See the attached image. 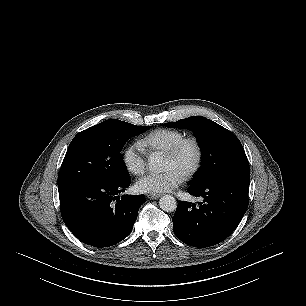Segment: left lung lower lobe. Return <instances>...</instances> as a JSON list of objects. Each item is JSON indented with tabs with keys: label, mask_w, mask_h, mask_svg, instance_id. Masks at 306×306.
I'll return each mask as SVG.
<instances>
[{
	"label": "left lung lower lobe",
	"mask_w": 306,
	"mask_h": 306,
	"mask_svg": "<svg viewBox=\"0 0 306 306\" xmlns=\"http://www.w3.org/2000/svg\"><path fill=\"white\" fill-rule=\"evenodd\" d=\"M249 184L250 175H227L190 185L189 194L203 201L178 203L172 218L177 238L200 248L226 239L247 210Z\"/></svg>",
	"instance_id": "0a47b994"
}]
</instances>
